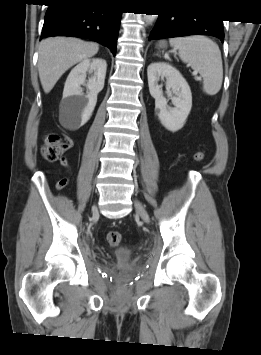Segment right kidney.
Wrapping results in <instances>:
<instances>
[{
	"label": "right kidney",
	"mask_w": 261,
	"mask_h": 355,
	"mask_svg": "<svg viewBox=\"0 0 261 355\" xmlns=\"http://www.w3.org/2000/svg\"><path fill=\"white\" fill-rule=\"evenodd\" d=\"M107 63L102 58L85 59L75 66L65 82L60 113L67 127L80 128L91 117L97 95L104 87ZM87 72L93 75L87 81L88 92H82Z\"/></svg>",
	"instance_id": "right-kidney-1"
}]
</instances>
